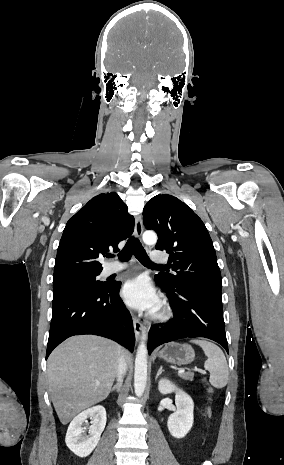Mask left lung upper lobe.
Listing matches in <instances>:
<instances>
[{
	"mask_svg": "<svg viewBox=\"0 0 284 465\" xmlns=\"http://www.w3.org/2000/svg\"><path fill=\"white\" fill-rule=\"evenodd\" d=\"M146 229L157 232V250L170 253L169 266L176 275L160 273L155 278L174 290L179 285L222 289L220 269L211 237L202 220L178 198L162 194L144 207Z\"/></svg>",
	"mask_w": 284,
	"mask_h": 465,
	"instance_id": "1",
	"label": "left lung upper lobe"
}]
</instances>
